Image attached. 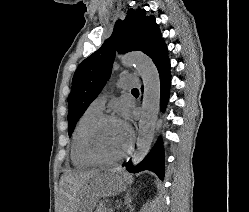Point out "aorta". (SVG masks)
I'll use <instances>...</instances> for the list:
<instances>
[{"label": "aorta", "instance_id": "aorta-1", "mask_svg": "<svg viewBox=\"0 0 249 212\" xmlns=\"http://www.w3.org/2000/svg\"><path fill=\"white\" fill-rule=\"evenodd\" d=\"M125 66H134L142 78L144 91L142 113L139 121L137 149L132 156L134 165L139 164L150 150L160 106V76L154 62L145 54L132 52L121 57Z\"/></svg>", "mask_w": 249, "mask_h": 212}]
</instances>
